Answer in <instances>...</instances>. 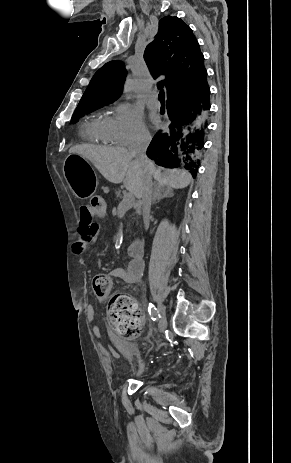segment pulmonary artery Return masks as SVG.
I'll return each mask as SVG.
<instances>
[{
    "label": "pulmonary artery",
    "mask_w": 291,
    "mask_h": 463,
    "mask_svg": "<svg viewBox=\"0 0 291 463\" xmlns=\"http://www.w3.org/2000/svg\"><path fill=\"white\" fill-rule=\"evenodd\" d=\"M148 107L153 110H158L160 109V102L157 99V94L152 93L148 99Z\"/></svg>",
    "instance_id": "e3ab8cb5"
}]
</instances>
